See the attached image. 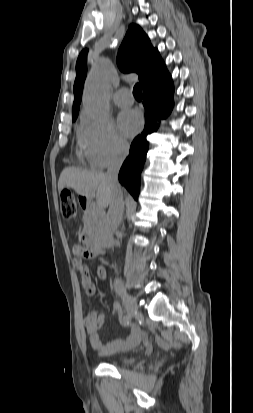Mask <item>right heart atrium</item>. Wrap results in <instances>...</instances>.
I'll return each instance as SVG.
<instances>
[{
  "label": "right heart atrium",
  "instance_id": "d8ad5b80",
  "mask_svg": "<svg viewBox=\"0 0 253 413\" xmlns=\"http://www.w3.org/2000/svg\"><path fill=\"white\" fill-rule=\"evenodd\" d=\"M80 144L87 161L94 168L106 166L122 159L128 144L110 121L85 118L80 133Z\"/></svg>",
  "mask_w": 253,
  "mask_h": 413
}]
</instances>
